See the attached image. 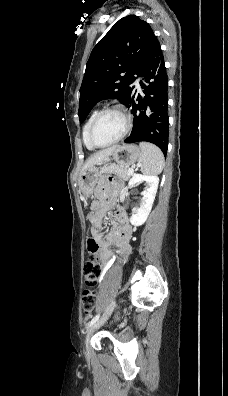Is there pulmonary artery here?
<instances>
[{
  "label": "pulmonary artery",
  "instance_id": "e3ab8cb5",
  "mask_svg": "<svg viewBox=\"0 0 228 396\" xmlns=\"http://www.w3.org/2000/svg\"><path fill=\"white\" fill-rule=\"evenodd\" d=\"M134 86H135V88H136L137 90H139V89H140V83H139V80H136V81L134 82Z\"/></svg>",
  "mask_w": 228,
  "mask_h": 396
}]
</instances>
